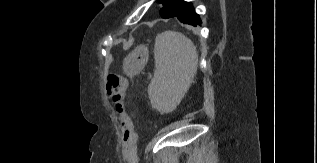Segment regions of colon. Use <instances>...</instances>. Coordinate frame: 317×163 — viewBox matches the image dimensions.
<instances>
[{
    "mask_svg": "<svg viewBox=\"0 0 317 163\" xmlns=\"http://www.w3.org/2000/svg\"><path fill=\"white\" fill-rule=\"evenodd\" d=\"M125 90V83L118 76H110L107 81V92L112 100L120 105Z\"/></svg>",
    "mask_w": 317,
    "mask_h": 163,
    "instance_id": "colon-1",
    "label": "colon"
}]
</instances>
